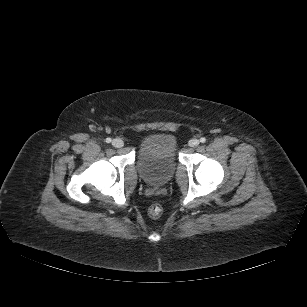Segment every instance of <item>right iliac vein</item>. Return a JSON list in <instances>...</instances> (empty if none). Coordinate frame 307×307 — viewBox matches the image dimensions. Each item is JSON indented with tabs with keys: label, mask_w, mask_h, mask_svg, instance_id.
Returning <instances> with one entry per match:
<instances>
[{
	"label": "right iliac vein",
	"mask_w": 307,
	"mask_h": 307,
	"mask_svg": "<svg viewBox=\"0 0 307 307\" xmlns=\"http://www.w3.org/2000/svg\"><path fill=\"white\" fill-rule=\"evenodd\" d=\"M112 145H113L114 147H116V148H121V147H123L124 142H123L121 139L116 138V139H114V140L112 141Z\"/></svg>",
	"instance_id": "right-iliac-vein-1"
}]
</instances>
